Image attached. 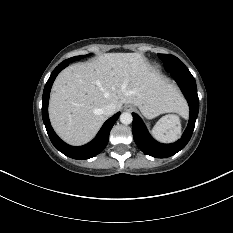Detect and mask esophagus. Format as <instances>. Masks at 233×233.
I'll return each mask as SVG.
<instances>
[{
	"label": "esophagus",
	"mask_w": 233,
	"mask_h": 233,
	"mask_svg": "<svg viewBox=\"0 0 233 233\" xmlns=\"http://www.w3.org/2000/svg\"><path fill=\"white\" fill-rule=\"evenodd\" d=\"M124 109H125L126 111H132L133 106L130 105V104H127V105L124 106Z\"/></svg>",
	"instance_id": "34e87169"
}]
</instances>
